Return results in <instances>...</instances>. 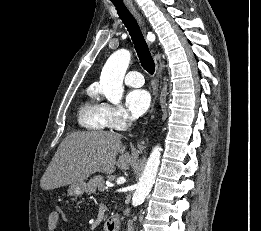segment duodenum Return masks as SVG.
I'll return each mask as SVG.
<instances>
[{"instance_id":"1","label":"duodenum","mask_w":261,"mask_h":231,"mask_svg":"<svg viewBox=\"0 0 261 231\" xmlns=\"http://www.w3.org/2000/svg\"><path fill=\"white\" fill-rule=\"evenodd\" d=\"M120 218L116 215L111 216L104 222V231H119Z\"/></svg>"}]
</instances>
